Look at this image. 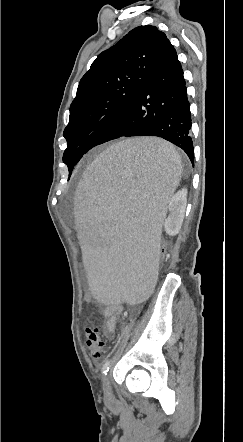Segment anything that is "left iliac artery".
Segmentation results:
<instances>
[{
    "mask_svg": "<svg viewBox=\"0 0 243 442\" xmlns=\"http://www.w3.org/2000/svg\"><path fill=\"white\" fill-rule=\"evenodd\" d=\"M110 365H111L110 360H107V361L104 363V365H103V367H102V373H103L104 375H107V373H108V371H109V369H110Z\"/></svg>",
    "mask_w": 243,
    "mask_h": 442,
    "instance_id": "left-iliac-artery-1",
    "label": "left iliac artery"
}]
</instances>
